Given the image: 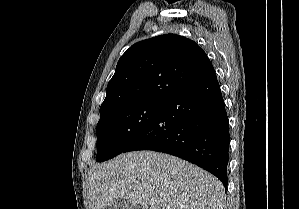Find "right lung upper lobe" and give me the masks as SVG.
<instances>
[{
    "label": "right lung upper lobe",
    "instance_id": "right-lung-upper-lobe-1",
    "mask_svg": "<svg viewBox=\"0 0 299 209\" xmlns=\"http://www.w3.org/2000/svg\"><path fill=\"white\" fill-rule=\"evenodd\" d=\"M210 70L206 53L188 38L166 34L140 41L119 59L100 112L136 102H165L185 81Z\"/></svg>",
    "mask_w": 299,
    "mask_h": 209
}]
</instances>
